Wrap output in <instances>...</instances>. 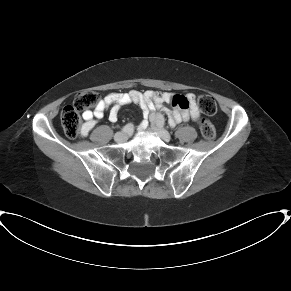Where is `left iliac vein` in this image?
Returning a JSON list of instances; mask_svg holds the SVG:
<instances>
[{"label": "left iliac vein", "instance_id": "left-iliac-vein-1", "mask_svg": "<svg viewBox=\"0 0 291 291\" xmlns=\"http://www.w3.org/2000/svg\"><path fill=\"white\" fill-rule=\"evenodd\" d=\"M151 129L154 132H156L159 135V137L161 139H163L164 141H170L171 136H170L169 132L167 130H165L164 128H162L161 126L152 123Z\"/></svg>", "mask_w": 291, "mask_h": 291}]
</instances>
